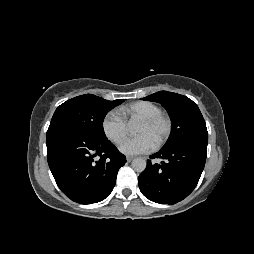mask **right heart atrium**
Returning <instances> with one entry per match:
<instances>
[{
  "label": "right heart atrium",
  "instance_id": "d8ad5b80",
  "mask_svg": "<svg viewBox=\"0 0 254 254\" xmlns=\"http://www.w3.org/2000/svg\"><path fill=\"white\" fill-rule=\"evenodd\" d=\"M101 128L104 136L113 144L119 145L127 134V124L121 114L109 111L102 119Z\"/></svg>",
  "mask_w": 254,
  "mask_h": 254
}]
</instances>
